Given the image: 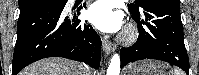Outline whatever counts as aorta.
Returning <instances> with one entry per match:
<instances>
[{"label":"aorta","mask_w":199,"mask_h":75,"mask_svg":"<svg viewBox=\"0 0 199 75\" xmlns=\"http://www.w3.org/2000/svg\"><path fill=\"white\" fill-rule=\"evenodd\" d=\"M119 73H120V57L118 54H114L108 66L107 75H119Z\"/></svg>","instance_id":"aorta-1"}]
</instances>
